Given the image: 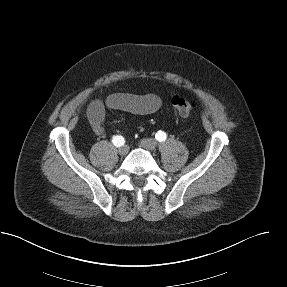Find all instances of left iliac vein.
Returning a JSON list of instances; mask_svg holds the SVG:
<instances>
[{"instance_id":"1","label":"left iliac vein","mask_w":287,"mask_h":287,"mask_svg":"<svg viewBox=\"0 0 287 287\" xmlns=\"http://www.w3.org/2000/svg\"><path fill=\"white\" fill-rule=\"evenodd\" d=\"M140 145L149 151H154L157 147V142L155 139L145 138L140 141Z\"/></svg>"}]
</instances>
